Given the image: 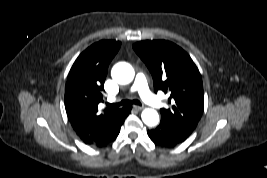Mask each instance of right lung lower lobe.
Segmentation results:
<instances>
[{
  "instance_id": "1",
  "label": "right lung lower lobe",
  "mask_w": 267,
  "mask_h": 178,
  "mask_svg": "<svg viewBox=\"0 0 267 178\" xmlns=\"http://www.w3.org/2000/svg\"><path fill=\"white\" fill-rule=\"evenodd\" d=\"M132 106H124L119 116L112 122L104 125L95 132H93L88 138L82 139L85 144L95 147H105L112 143L120 132V127L123 124L125 118L131 112Z\"/></svg>"
}]
</instances>
